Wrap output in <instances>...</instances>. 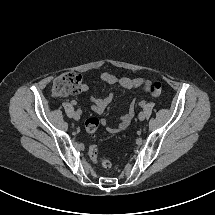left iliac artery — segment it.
<instances>
[{
    "label": "left iliac artery",
    "instance_id": "left-iliac-artery-1",
    "mask_svg": "<svg viewBox=\"0 0 215 215\" xmlns=\"http://www.w3.org/2000/svg\"><path fill=\"white\" fill-rule=\"evenodd\" d=\"M140 105H141V107H143V106H144V103H141Z\"/></svg>",
    "mask_w": 215,
    "mask_h": 215
}]
</instances>
